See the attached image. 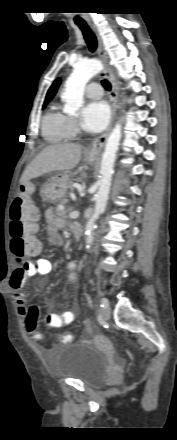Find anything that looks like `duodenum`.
Returning a JSON list of instances; mask_svg holds the SVG:
<instances>
[{"instance_id":"duodenum-1","label":"duodenum","mask_w":177,"mask_h":440,"mask_svg":"<svg viewBox=\"0 0 177 440\" xmlns=\"http://www.w3.org/2000/svg\"><path fill=\"white\" fill-rule=\"evenodd\" d=\"M72 233L74 236V239L79 242L83 237V229L80 225H75L72 227Z\"/></svg>"}]
</instances>
